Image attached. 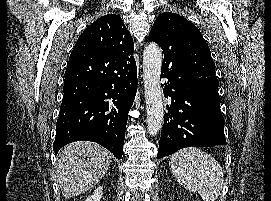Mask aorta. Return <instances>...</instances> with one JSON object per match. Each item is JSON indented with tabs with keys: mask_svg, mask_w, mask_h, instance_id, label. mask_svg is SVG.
I'll use <instances>...</instances> for the list:
<instances>
[{
	"mask_svg": "<svg viewBox=\"0 0 271 201\" xmlns=\"http://www.w3.org/2000/svg\"><path fill=\"white\" fill-rule=\"evenodd\" d=\"M162 50L156 43H150L143 53V81L147 109V129L155 136L162 128L164 109L160 74Z\"/></svg>",
	"mask_w": 271,
	"mask_h": 201,
	"instance_id": "1",
	"label": "aorta"
}]
</instances>
